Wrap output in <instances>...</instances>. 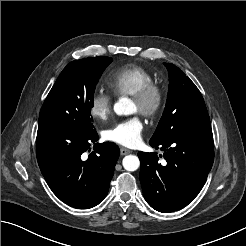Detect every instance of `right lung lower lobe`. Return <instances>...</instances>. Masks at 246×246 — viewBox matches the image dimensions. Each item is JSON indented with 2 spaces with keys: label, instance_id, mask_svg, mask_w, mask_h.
<instances>
[{
  "label": "right lung lower lobe",
  "instance_id": "98d812e1",
  "mask_svg": "<svg viewBox=\"0 0 246 246\" xmlns=\"http://www.w3.org/2000/svg\"><path fill=\"white\" fill-rule=\"evenodd\" d=\"M90 133L57 127H38L36 155L53 193L78 209L98 205L107 195L120 151L112 142L96 143ZM94 151L84 159L83 153Z\"/></svg>",
  "mask_w": 246,
  "mask_h": 246
}]
</instances>
